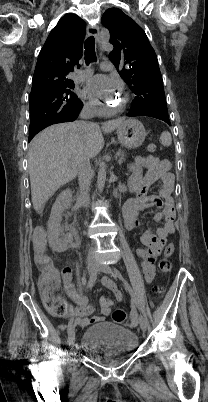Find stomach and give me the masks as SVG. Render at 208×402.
I'll return each instance as SVG.
<instances>
[{
    "label": "stomach",
    "mask_w": 208,
    "mask_h": 402,
    "mask_svg": "<svg viewBox=\"0 0 208 402\" xmlns=\"http://www.w3.org/2000/svg\"><path fill=\"white\" fill-rule=\"evenodd\" d=\"M120 144L125 148H139L146 136L145 128L139 120H125L117 130Z\"/></svg>",
    "instance_id": "1"
}]
</instances>
